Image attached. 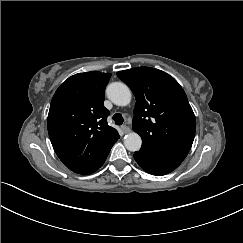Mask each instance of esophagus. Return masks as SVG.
Segmentation results:
<instances>
[{
    "label": "esophagus",
    "mask_w": 243,
    "mask_h": 243,
    "mask_svg": "<svg viewBox=\"0 0 243 243\" xmlns=\"http://www.w3.org/2000/svg\"><path fill=\"white\" fill-rule=\"evenodd\" d=\"M121 131L123 134H127L128 132H130V128L126 125L121 127Z\"/></svg>",
    "instance_id": "esophagus-1"
}]
</instances>
